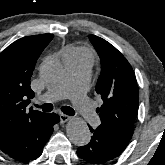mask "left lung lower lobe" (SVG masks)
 I'll return each instance as SVG.
<instances>
[{
    "mask_svg": "<svg viewBox=\"0 0 165 165\" xmlns=\"http://www.w3.org/2000/svg\"><path fill=\"white\" fill-rule=\"evenodd\" d=\"M89 128L92 133L91 140L87 145L79 147L77 154L83 160L93 164L105 163L118 157L131 139L103 125L96 129L89 125Z\"/></svg>",
    "mask_w": 165,
    "mask_h": 165,
    "instance_id": "obj_1",
    "label": "left lung lower lobe"
}]
</instances>
